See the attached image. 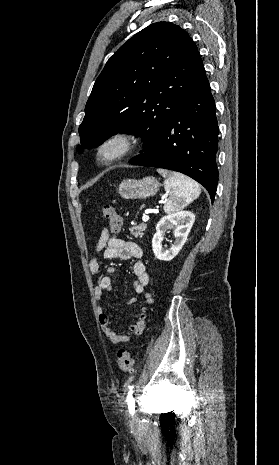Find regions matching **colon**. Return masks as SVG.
I'll return each instance as SVG.
<instances>
[{
    "mask_svg": "<svg viewBox=\"0 0 279 465\" xmlns=\"http://www.w3.org/2000/svg\"><path fill=\"white\" fill-rule=\"evenodd\" d=\"M102 216L109 221V228L111 233H119L123 225V219L119 214H117L111 205H104L102 207ZM116 361L122 371L129 372L134 367L133 358L131 354L125 349L118 351Z\"/></svg>",
    "mask_w": 279,
    "mask_h": 465,
    "instance_id": "colon-1",
    "label": "colon"
}]
</instances>
